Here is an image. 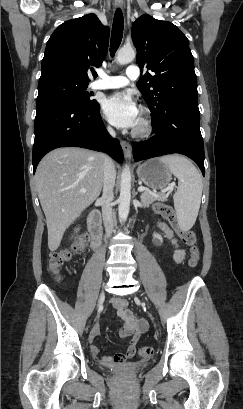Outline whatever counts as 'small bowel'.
I'll return each mask as SVG.
<instances>
[{
  "mask_svg": "<svg viewBox=\"0 0 243 409\" xmlns=\"http://www.w3.org/2000/svg\"><path fill=\"white\" fill-rule=\"evenodd\" d=\"M160 230L163 232L164 236L175 243L174 235L172 230L165 224H159ZM185 253L182 249L175 248L173 252V259L176 262L183 260ZM113 307L116 310L117 317L121 320L122 325L118 330L120 338H130L127 350L122 355H115L112 357H106L100 355V350L98 346L94 343V339L100 334L101 326L97 323L90 335H89V348L93 356L97 357L104 364H122L126 360L132 358L136 354V346L139 341L140 334L145 332L147 329V323L144 319L135 317L131 311L128 310V301L126 299H114L112 302Z\"/></svg>",
  "mask_w": 243,
  "mask_h": 409,
  "instance_id": "c3829d8e",
  "label": "small bowel"
}]
</instances>
